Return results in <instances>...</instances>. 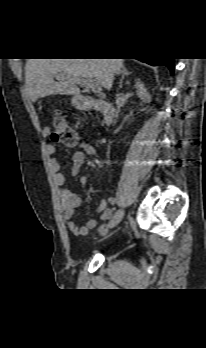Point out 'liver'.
<instances>
[{
    "label": "liver",
    "instance_id": "6515ba94",
    "mask_svg": "<svg viewBox=\"0 0 206 348\" xmlns=\"http://www.w3.org/2000/svg\"><path fill=\"white\" fill-rule=\"evenodd\" d=\"M124 59H28L25 88L35 102L48 95H78L76 79H95L110 90ZM56 78L57 81L54 80Z\"/></svg>",
    "mask_w": 206,
    "mask_h": 348
}]
</instances>
